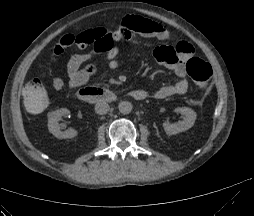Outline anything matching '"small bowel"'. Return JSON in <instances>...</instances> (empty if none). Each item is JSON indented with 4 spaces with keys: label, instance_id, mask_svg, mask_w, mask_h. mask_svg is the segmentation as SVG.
<instances>
[{
    "label": "small bowel",
    "instance_id": "obj_1",
    "mask_svg": "<svg viewBox=\"0 0 254 216\" xmlns=\"http://www.w3.org/2000/svg\"><path fill=\"white\" fill-rule=\"evenodd\" d=\"M138 35L145 38H155L158 40L170 39L169 31L161 24L142 17H130L122 21L119 30L112 34L113 41L130 39ZM76 45L82 50V53L74 54L67 63L68 85L73 88L84 85L91 76L96 72L98 65L90 62L94 57L102 53L100 63L107 66L111 70H115L119 66L117 59L118 48L113 42L102 49L96 45H87L78 41V34L69 33L60 38L52 54V63L54 66L59 64L60 56L67 47ZM167 50H171L169 55ZM155 60L174 71L181 79L174 84L166 85L158 88L152 93L157 99H164L174 95L185 94L188 90V82L184 79L186 75V63L193 55V46L187 41H179L174 47H159L154 51ZM65 80L57 73L53 74L52 86L56 91H61L65 87ZM142 95V99L150 96V93L143 89H136Z\"/></svg>",
    "mask_w": 254,
    "mask_h": 216
}]
</instances>
